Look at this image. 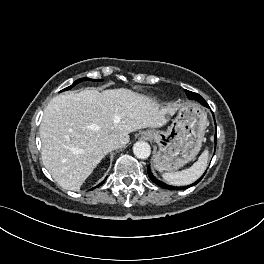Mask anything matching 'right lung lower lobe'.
Wrapping results in <instances>:
<instances>
[{"label":"right lung lower lobe","instance_id":"obj_1","mask_svg":"<svg viewBox=\"0 0 264 264\" xmlns=\"http://www.w3.org/2000/svg\"><path fill=\"white\" fill-rule=\"evenodd\" d=\"M104 182H105V180L103 182H101L100 185L103 184ZM100 185H98L97 187H99Z\"/></svg>","mask_w":264,"mask_h":264}]
</instances>
